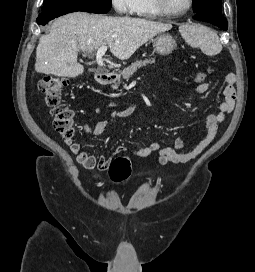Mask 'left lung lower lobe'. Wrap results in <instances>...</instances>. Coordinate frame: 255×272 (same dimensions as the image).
<instances>
[{
    "instance_id": "left-lung-lower-lobe-1",
    "label": "left lung lower lobe",
    "mask_w": 255,
    "mask_h": 272,
    "mask_svg": "<svg viewBox=\"0 0 255 272\" xmlns=\"http://www.w3.org/2000/svg\"><path fill=\"white\" fill-rule=\"evenodd\" d=\"M193 18L195 20H201L212 23L220 27L221 29L227 30L228 27V22L226 18L221 14V12L216 10H205L198 12V14H196Z\"/></svg>"
}]
</instances>
